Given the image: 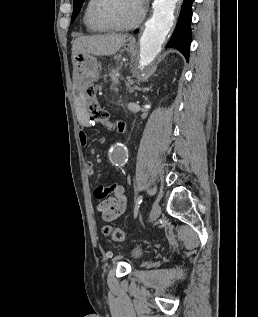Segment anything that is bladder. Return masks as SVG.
Segmentation results:
<instances>
[{"label":"bladder","instance_id":"bladder-1","mask_svg":"<svg viewBox=\"0 0 258 317\" xmlns=\"http://www.w3.org/2000/svg\"><path fill=\"white\" fill-rule=\"evenodd\" d=\"M140 254H141V251H140L139 249H135V250H133V252H132V255H133L134 257H138Z\"/></svg>","mask_w":258,"mask_h":317}]
</instances>
